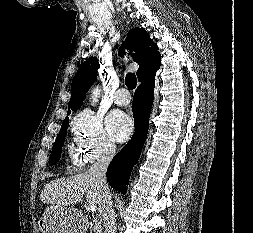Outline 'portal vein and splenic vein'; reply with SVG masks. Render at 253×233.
Returning <instances> with one entry per match:
<instances>
[{
    "label": "portal vein and splenic vein",
    "mask_w": 253,
    "mask_h": 233,
    "mask_svg": "<svg viewBox=\"0 0 253 233\" xmlns=\"http://www.w3.org/2000/svg\"><path fill=\"white\" fill-rule=\"evenodd\" d=\"M89 209H90L92 212H96V210H97L96 204L91 203V204L89 205Z\"/></svg>",
    "instance_id": "1"
}]
</instances>
